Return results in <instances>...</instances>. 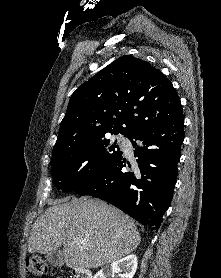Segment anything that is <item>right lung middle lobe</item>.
I'll list each match as a JSON object with an SVG mask.
<instances>
[{
	"label": "right lung middle lobe",
	"mask_w": 221,
	"mask_h": 278,
	"mask_svg": "<svg viewBox=\"0 0 221 278\" xmlns=\"http://www.w3.org/2000/svg\"><path fill=\"white\" fill-rule=\"evenodd\" d=\"M103 137H93L53 151L51 174L58 190L75 191L122 154L116 142L113 144Z\"/></svg>",
	"instance_id": "dd1d6c3e"
}]
</instances>
